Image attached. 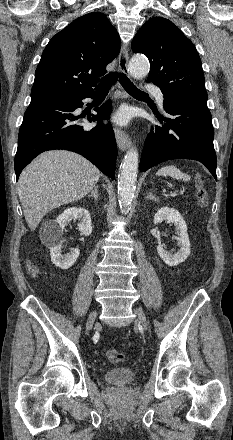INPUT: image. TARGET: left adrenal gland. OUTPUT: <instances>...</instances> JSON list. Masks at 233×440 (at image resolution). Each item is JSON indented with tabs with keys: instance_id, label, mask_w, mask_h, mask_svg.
Listing matches in <instances>:
<instances>
[{
	"instance_id": "a2214340",
	"label": "left adrenal gland",
	"mask_w": 233,
	"mask_h": 440,
	"mask_svg": "<svg viewBox=\"0 0 233 440\" xmlns=\"http://www.w3.org/2000/svg\"><path fill=\"white\" fill-rule=\"evenodd\" d=\"M146 199H148V200H153V201H155V202H158V201H159V198L155 197V196L153 195L152 192H149V193H148Z\"/></svg>"
}]
</instances>
